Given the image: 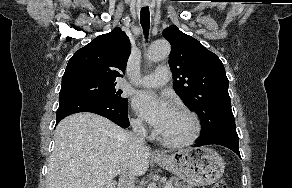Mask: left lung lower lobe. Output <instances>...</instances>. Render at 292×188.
<instances>
[{
  "label": "left lung lower lobe",
  "instance_id": "1",
  "mask_svg": "<svg viewBox=\"0 0 292 188\" xmlns=\"http://www.w3.org/2000/svg\"><path fill=\"white\" fill-rule=\"evenodd\" d=\"M209 144H216L227 147L240 156L239 140L236 132L235 122L220 126L206 134H201V138L197 141L194 147Z\"/></svg>",
  "mask_w": 292,
  "mask_h": 188
}]
</instances>
